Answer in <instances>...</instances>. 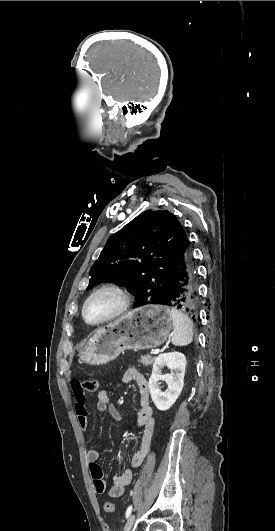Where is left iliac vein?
<instances>
[{"instance_id":"obj_1","label":"left iliac vein","mask_w":275,"mask_h":531,"mask_svg":"<svg viewBox=\"0 0 275 531\" xmlns=\"http://www.w3.org/2000/svg\"><path fill=\"white\" fill-rule=\"evenodd\" d=\"M135 522V514H131L128 520L126 521L124 531H130Z\"/></svg>"}]
</instances>
